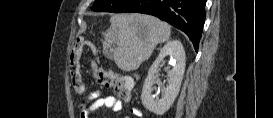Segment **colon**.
Masks as SVG:
<instances>
[{"label": "colon", "instance_id": "5ec220e1", "mask_svg": "<svg viewBox=\"0 0 273 118\" xmlns=\"http://www.w3.org/2000/svg\"><path fill=\"white\" fill-rule=\"evenodd\" d=\"M85 44V42H79L73 47L68 64V75L71 86L79 94L82 93L84 89L79 67V58ZM92 76L99 84L113 88L116 94L124 101L130 99L132 81L129 78L115 73L102 72L95 67L92 68Z\"/></svg>", "mask_w": 273, "mask_h": 118}]
</instances>
